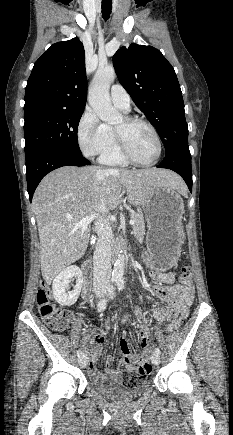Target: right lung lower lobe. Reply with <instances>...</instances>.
<instances>
[{
	"label": "right lung lower lobe",
	"instance_id": "right-lung-lower-lobe-1",
	"mask_svg": "<svg viewBox=\"0 0 233 435\" xmlns=\"http://www.w3.org/2000/svg\"><path fill=\"white\" fill-rule=\"evenodd\" d=\"M91 163L82 156L60 148H42L26 155V179L30 201L42 178L62 166H85Z\"/></svg>",
	"mask_w": 233,
	"mask_h": 435
}]
</instances>
